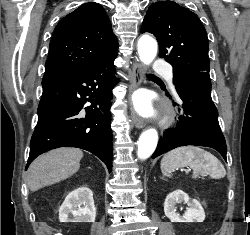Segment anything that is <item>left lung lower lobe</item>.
<instances>
[{"instance_id": "obj_1", "label": "left lung lower lobe", "mask_w": 250, "mask_h": 235, "mask_svg": "<svg viewBox=\"0 0 250 235\" xmlns=\"http://www.w3.org/2000/svg\"><path fill=\"white\" fill-rule=\"evenodd\" d=\"M174 85L183 101V114L179 116L177 127L166 130L160 138L152 158L180 146L196 145L213 148L226 160L227 147L211 98L209 74L188 73L176 79Z\"/></svg>"}]
</instances>
